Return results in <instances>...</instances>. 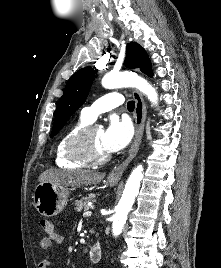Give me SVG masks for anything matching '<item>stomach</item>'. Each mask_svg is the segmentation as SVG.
<instances>
[{"label":"stomach","mask_w":221,"mask_h":268,"mask_svg":"<svg viewBox=\"0 0 221 268\" xmlns=\"http://www.w3.org/2000/svg\"><path fill=\"white\" fill-rule=\"evenodd\" d=\"M110 185H115L118 179L108 178ZM69 188L64 185H55L43 182L36 186L33 194V204L36 210L45 217L59 214L67 205Z\"/></svg>","instance_id":"1"}]
</instances>
